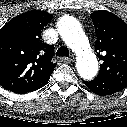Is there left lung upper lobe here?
I'll list each match as a JSON object with an SVG mask.
<instances>
[{"mask_svg": "<svg viewBox=\"0 0 127 127\" xmlns=\"http://www.w3.org/2000/svg\"><path fill=\"white\" fill-rule=\"evenodd\" d=\"M96 30L99 77L127 87V24L115 14L100 10L91 14Z\"/></svg>", "mask_w": 127, "mask_h": 127, "instance_id": "1", "label": "left lung upper lobe"}]
</instances>
